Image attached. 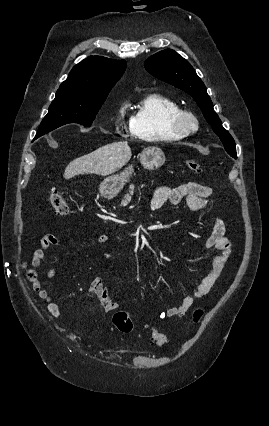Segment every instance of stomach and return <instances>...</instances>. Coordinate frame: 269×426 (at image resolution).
Instances as JSON below:
<instances>
[{"instance_id": "0dacf381", "label": "stomach", "mask_w": 269, "mask_h": 426, "mask_svg": "<svg viewBox=\"0 0 269 426\" xmlns=\"http://www.w3.org/2000/svg\"><path fill=\"white\" fill-rule=\"evenodd\" d=\"M140 162L145 169L155 170L165 162L163 151L157 147L144 149L140 154ZM134 169L132 165L126 167L120 174L112 175L104 179L100 185V193L106 198L115 197L129 181Z\"/></svg>"}]
</instances>
